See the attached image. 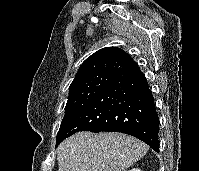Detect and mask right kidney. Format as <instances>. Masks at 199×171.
<instances>
[{
    "instance_id": "right-kidney-1",
    "label": "right kidney",
    "mask_w": 199,
    "mask_h": 171,
    "mask_svg": "<svg viewBox=\"0 0 199 171\" xmlns=\"http://www.w3.org/2000/svg\"><path fill=\"white\" fill-rule=\"evenodd\" d=\"M129 171H141L140 169H138V168H132L131 170H129Z\"/></svg>"
}]
</instances>
